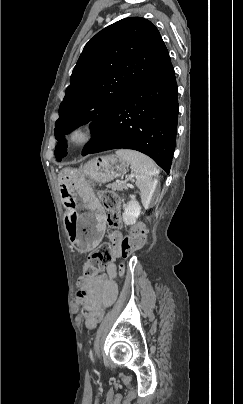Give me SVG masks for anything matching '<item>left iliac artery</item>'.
Returning <instances> with one entry per match:
<instances>
[{"mask_svg":"<svg viewBox=\"0 0 243 404\" xmlns=\"http://www.w3.org/2000/svg\"><path fill=\"white\" fill-rule=\"evenodd\" d=\"M89 356H90L91 360H92V361H94V360H93V354H92V350H90V352H89Z\"/></svg>","mask_w":243,"mask_h":404,"instance_id":"obj_1","label":"left iliac artery"}]
</instances>
